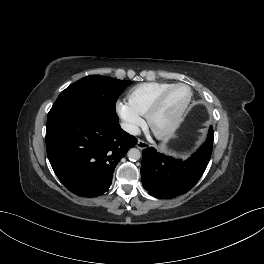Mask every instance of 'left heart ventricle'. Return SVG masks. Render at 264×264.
<instances>
[{"label":"left heart ventricle","mask_w":264,"mask_h":264,"mask_svg":"<svg viewBox=\"0 0 264 264\" xmlns=\"http://www.w3.org/2000/svg\"><path fill=\"white\" fill-rule=\"evenodd\" d=\"M187 97L188 90L184 87H177L170 91L154 118V126L157 129L165 128L175 118Z\"/></svg>","instance_id":"obj_1"}]
</instances>
